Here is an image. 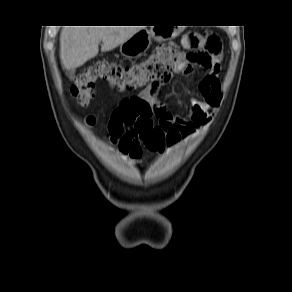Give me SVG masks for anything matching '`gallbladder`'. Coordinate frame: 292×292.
Segmentation results:
<instances>
[{
  "label": "gallbladder",
  "instance_id": "obj_1",
  "mask_svg": "<svg viewBox=\"0 0 292 292\" xmlns=\"http://www.w3.org/2000/svg\"><path fill=\"white\" fill-rule=\"evenodd\" d=\"M74 74H75V70L74 69L69 70L68 75H69L70 78H72Z\"/></svg>",
  "mask_w": 292,
  "mask_h": 292
}]
</instances>
